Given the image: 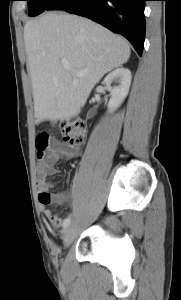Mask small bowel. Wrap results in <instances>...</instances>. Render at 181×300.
<instances>
[{
  "mask_svg": "<svg viewBox=\"0 0 181 300\" xmlns=\"http://www.w3.org/2000/svg\"><path fill=\"white\" fill-rule=\"evenodd\" d=\"M51 142L44 157L37 164V187L39 203L43 207V214L52 227L59 228L62 224L60 217L55 215L50 209L46 208L51 204L65 205L69 201L66 193H51L50 189L53 183L50 177L58 173L55 168L56 163L60 160V144L55 138H50ZM65 157L72 158L76 155L75 151H65Z\"/></svg>",
  "mask_w": 181,
  "mask_h": 300,
  "instance_id": "1",
  "label": "small bowel"
}]
</instances>
